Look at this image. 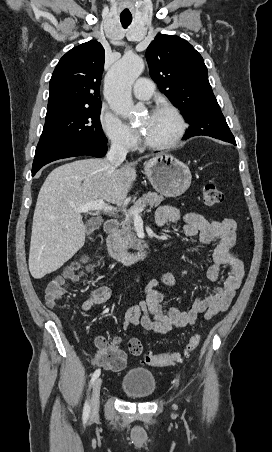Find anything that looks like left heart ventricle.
I'll use <instances>...</instances> for the list:
<instances>
[{
    "label": "left heart ventricle",
    "instance_id": "left-heart-ventricle-1",
    "mask_svg": "<svg viewBox=\"0 0 272 452\" xmlns=\"http://www.w3.org/2000/svg\"><path fill=\"white\" fill-rule=\"evenodd\" d=\"M139 126L143 138L151 143H162L169 140L176 130L175 120L163 112L145 116L140 120Z\"/></svg>",
    "mask_w": 272,
    "mask_h": 452
}]
</instances>
